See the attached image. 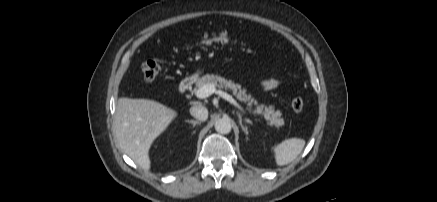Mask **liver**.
Listing matches in <instances>:
<instances>
[{"instance_id":"obj_1","label":"liver","mask_w":437,"mask_h":202,"mask_svg":"<svg viewBox=\"0 0 437 202\" xmlns=\"http://www.w3.org/2000/svg\"><path fill=\"white\" fill-rule=\"evenodd\" d=\"M177 115V111L154 100L119 98L114 118L116 139L124 153L141 168L149 170L153 141Z\"/></svg>"}]
</instances>
